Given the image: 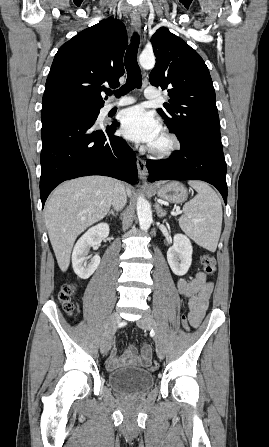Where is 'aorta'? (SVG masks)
Wrapping results in <instances>:
<instances>
[{
    "label": "aorta",
    "mask_w": 269,
    "mask_h": 447,
    "mask_svg": "<svg viewBox=\"0 0 269 447\" xmlns=\"http://www.w3.org/2000/svg\"><path fill=\"white\" fill-rule=\"evenodd\" d=\"M139 64L144 68V70H152L155 66V56L154 54H147V52H142L139 56ZM137 216L140 224V229H149L152 224V212L151 208L144 200V198H137Z\"/></svg>",
    "instance_id": "obj_1"
}]
</instances>
